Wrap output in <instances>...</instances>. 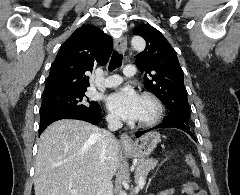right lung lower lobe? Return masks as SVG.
I'll return each instance as SVG.
<instances>
[{
  "label": "right lung lower lobe",
  "instance_id": "right-lung-lower-lobe-1",
  "mask_svg": "<svg viewBox=\"0 0 240 195\" xmlns=\"http://www.w3.org/2000/svg\"><path fill=\"white\" fill-rule=\"evenodd\" d=\"M61 119H78L90 122L92 124H97L102 120V117L101 110L100 111L75 110L43 115L40 118L39 135L48 125Z\"/></svg>",
  "mask_w": 240,
  "mask_h": 195
}]
</instances>
